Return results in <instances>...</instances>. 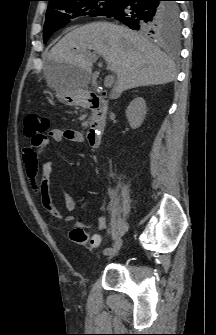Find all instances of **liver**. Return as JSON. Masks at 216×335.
<instances>
[{
    "mask_svg": "<svg viewBox=\"0 0 216 335\" xmlns=\"http://www.w3.org/2000/svg\"><path fill=\"white\" fill-rule=\"evenodd\" d=\"M89 54L102 55L116 74V95L140 86L172 82L175 63L158 47L130 29L108 22H93L67 33L48 53L46 76L54 87L55 75L74 89L87 86L92 73Z\"/></svg>",
    "mask_w": 216,
    "mask_h": 335,
    "instance_id": "1",
    "label": "liver"
}]
</instances>
